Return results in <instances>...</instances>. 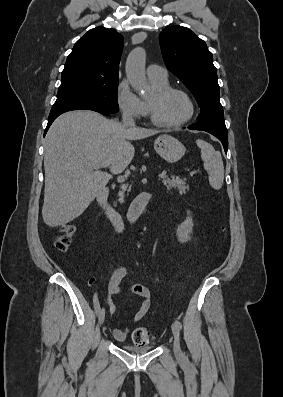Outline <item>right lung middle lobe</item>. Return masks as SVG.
Here are the masks:
<instances>
[{"mask_svg":"<svg viewBox=\"0 0 283 397\" xmlns=\"http://www.w3.org/2000/svg\"><path fill=\"white\" fill-rule=\"evenodd\" d=\"M117 89L118 78L62 73L54 105L88 104L116 113L119 111Z\"/></svg>","mask_w":283,"mask_h":397,"instance_id":"1","label":"right lung middle lobe"}]
</instances>
